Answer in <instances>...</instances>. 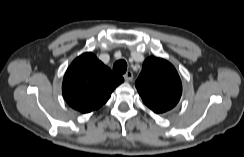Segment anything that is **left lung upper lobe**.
Returning a JSON list of instances; mask_svg holds the SVG:
<instances>
[{
	"label": "left lung upper lobe",
	"mask_w": 244,
	"mask_h": 157,
	"mask_svg": "<svg viewBox=\"0 0 244 157\" xmlns=\"http://www.w3.org/2000/svg\"><path fill=\"white\" fill-rule=\"evenodd\" d=\"M135 85L145 105L156 113L172 109L182 94V83L174 66L156 57L144 61Z\"/></svg>",
	"instance_id": "obj_1"
}]
</instances>
